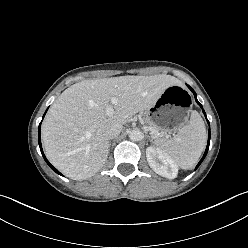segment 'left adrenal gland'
<instances>
[{"label":"left adrenal gland","mask_w":248,"mask_h":248,"mask_svg":"<svg viewBox=\"0 0 248 248\" xmlns=\"http://www.w3.org/2000/svg\"><path fill=\"white\" fill-rule=\"evenodd\" d=\"M147 138H148V140H149L150 142H153V139L150 138V136L147 135Z\"/></svg>","instance_id":"obj_1"}]
</instances>
